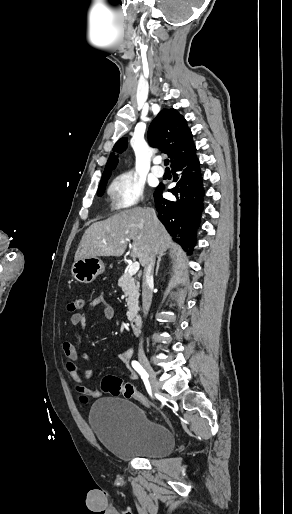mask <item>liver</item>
<instances>
[{
	"instance_id": "liver-1",
	"label": "liver",
	"mask_w": 292,
	"mask_h": 514,
	"mask_svg": "<svg viewBox=\"0 0 292 514\" xmlns=\"http://www.w3.org/2000/svg\"><path fill=\"white\" fill-rule=\"evenodd\" d=\"M152 212L151 208H132L114 214L103 222H95L82 236L75 260L122 256L127 248V240H133L130 256L139 258L141 266L145 268L152 254L164 256L172 244L171 236L161 222L152 216Z\"/></svg>"
}]
</instances>
